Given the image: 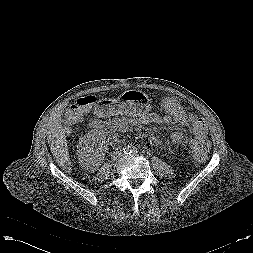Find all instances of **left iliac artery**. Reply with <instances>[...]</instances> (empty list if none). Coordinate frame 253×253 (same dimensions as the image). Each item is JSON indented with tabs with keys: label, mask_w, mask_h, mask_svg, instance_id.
<instances>
[{
	"label": "left iliac artery",
	"mask_w": 253,
	"mask_h": 253,
	"mask_svg": "<svg viewBox=\"0 0 253 253\" xmlns=\"http://www.w3.org/2000/svg\"><path fill=\"white\" fill-rule=\"evenodd\" d=\"M138 151H137V149H133V153L135 154V153H137Z\"/></svg>",
	"instance_id": "left-iliac-artery-1"
}]
</instances>
